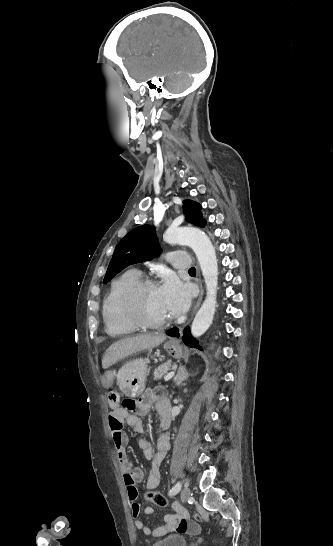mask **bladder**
Returning <instances> with one entry per match:
<instances>
[{
	"instance_id": "31cf9c89",
	"label": "bladder",
	"mask_w": 333,
	"mask_h": 546,
	"mask_svg": "<svg viewBox=\"0 0 333 546\" xmlns=\"http://www.w3.org/2000/svg\"><path fill=\"white\" fill-rule=\"evenodd\" d=\"M187 539L180 534H173L153 542L152 546H186Z\"/></svg>"
}]
</instances>
